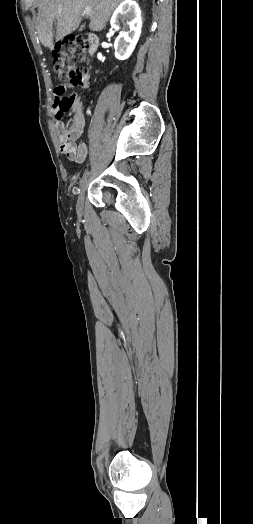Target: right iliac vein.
Returning a JSON list of instances; mask_svg holds the SVG:
<instances>
[{
    "mask_svg": "<svg viewBox=\"0 0 253 524\" xmlns=\"http://www.w3.org/2000/svg\"><path fill=\"white\" fill-rule=\"evenodd\" d=\"M87 186H88V175L80 186V191H79V195H78V199L76 203V210L78 214H81L83 211L84 198H85V192L87 190Z\"/></svg>",
    "mask_w": 253,
    "mask_h": 524,
    "instance_id": "obj_1",
    "label": "right iliac vein"
}]
</instances>
